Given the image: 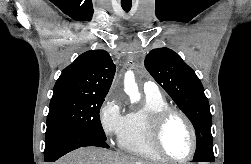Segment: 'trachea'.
<instances>
[{"label":"trachea","instance_id":"obj_1","mask_svg":"<svg viewBox=\"0 0 251 164\" xmlns=\"http://www.w3.org/2000/svg\"><path fill=\"white\" fill-rule=\"evenodd\" d=\"M121 6L124 11L129 12L132 6V3H121Z\"/></svg>","mask_w":251,"mask_h":164}]
</instances>
